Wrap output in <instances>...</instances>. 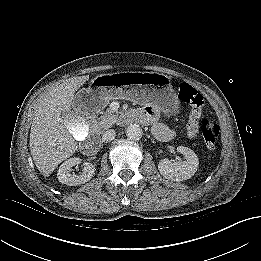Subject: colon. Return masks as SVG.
I'll use <instances>...</instances> for the list:
<instances>
[{"mask_svg": "<svg viewBox=\"0 0 261 261\" xmlns=\"http://www.w3.org/2000/svg\"><path fill=\"white\" fill-rule=\"evenodd\" d=\"M179 98L191 107L187 134L195 137L201 131L205 148L213 151L217 145L220 128L216 122L208 118L202 119L205 100L203 95L187 83L178 87Z\"/></svg>", "mask_w": 261, "mask_h": 261, "instance_id": "5ec220e1", "label": "colon"}]
</instances>
